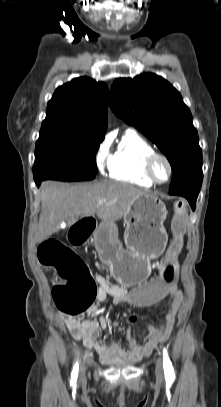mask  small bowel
<instances>
[{
	"label": "small bowel",
	"mask_w": 221,
	"mask_h": 407,
	"mask_svg": "<svg viewBox=\"0 0 221 407\" xmlns=\"http://www.w3.org/2000/svg\"><path fill=\"white\" fill-rule=\"evenodd\" d=\"M95 279L98 283L96 293L98 303L104 304L107 295L113 297L114 304L122 302L129 303L132 292L127 294L125 289L131 287V285H115L103 276L97 274L95 275ZM166 296L171 297V307L162 317V323L159 325H150L149 334L144 338L142 343H139L135 338L129 336L128 348L122 346L118 342H98L99 328L104 330L105 336L107 337L110 334L111 329L118 325L121 318L116 314L108 313L101 315L99 319H96L94 316L100 313V309L96 305L89 307V318L80 319L75 316L66 315L64 317L65 324L74 338L82 340L85 346L96 350L102 359L137 361L143 356L149 355L159 343L165 341L172 330L182 303L183 294L182 291L175 286V291L166 292ZM135 320L136 317L132 316L131 321L134 322Z\"/></svg>",
	"instance_id": "c3829d8e"
}]
</instances>
